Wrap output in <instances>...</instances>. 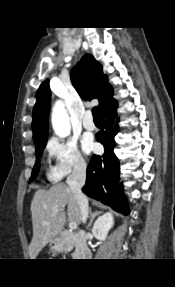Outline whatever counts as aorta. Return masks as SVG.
<instances>
[{"label":"aorta","instance_id":"obj_1","mask_svg":"<svg viewBox=\"0 0 175 287\" xmlns=\"http://www.w3.org/2000/svg\"><path fill=\"white\" fill-rule=\"evenodd\" d=\"M52 126L57 136L64 138L70 135L71 125L69 116L61 100H58L53 107Z\"/></svg>","mask_w":175,"mask_h":287}]
</instances>
